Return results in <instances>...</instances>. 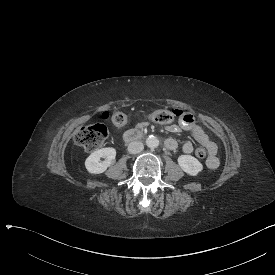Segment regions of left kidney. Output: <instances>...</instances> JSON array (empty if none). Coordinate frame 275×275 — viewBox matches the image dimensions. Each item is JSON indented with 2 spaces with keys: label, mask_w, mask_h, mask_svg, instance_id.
Returning a JSON list of instances; mask_svg holds the SVG:
<instances>
[{
  "label": "left kidney",
  "mask_w": 275,
  "mask_h": 275,
  "mask_svg": "<svg viewBox=\"0 0 275 275\" xmlns=\"http://www.w3.org/2000/svg\"><path fill=\"white\" fill-rule=\"evenodd\" d=\"M177 162L183 172L190 176H197L204 169L203 164L191 155H180Z\"/></svg>",
  "instance_id": "1"
}]
</instances>
